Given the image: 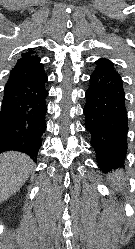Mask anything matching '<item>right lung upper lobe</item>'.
I'll use <instances>...</instances> for the list:
<instances>
[{"instance_id":"right-lung-upper-lobe-1","label":"right lung upper lobe","mask_w":135,"mask_h":249,"mask_svg":"<svg viewBox=\"0 0 135 249\" xmlns=\"http://www.w3.org/2000/svg\"><path fill=\"white\" fill-rule=\"evenodd\" d=\"M34 53L32 49H29L21 54V58L17 60L16 65L12 68L7 82L30 79L45 74L40 58Z\"/></svg>"}]
</instances>
